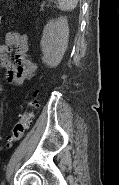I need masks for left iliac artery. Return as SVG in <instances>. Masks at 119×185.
<instances>
[{
	"label": "left iliac artery",
	"mask_w": 119,
	"mask_h": 185,
	"mask_svg": "<svg viewBox=\"0 0 119 185\" xmlns=\"http://www.w3.org/2000/svg\"><path fill=\"white\" fill-rule=\"evenodd\" d=\"M2 185H5V181L2 182Z\"/></svg>",
	"instance_id": "left-iliac-artery-1"
}]
</instances>
